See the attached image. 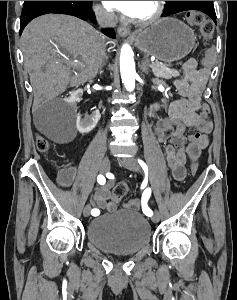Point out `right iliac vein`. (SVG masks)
Returning <instances> with one entry per match:
<instances>
[{"label":"right iliac vein","instance_id":"63e3f726","mask_svg":"<svg viewBox=\"0 0 237 300\" xmlns=\"http://www.w3.org/2000/svg\"><path fill=\"white\" fill-rule=\"evenodd\" d=\"M110 169V160L107 156L103 157L102 161H101V165H100V172L102 174H105L109 171ZM90 211H91V205H86L83 209V215L85 217L90 215Z\"/></svg>","mask_w":237,"mask_h":300}]
</instances>
